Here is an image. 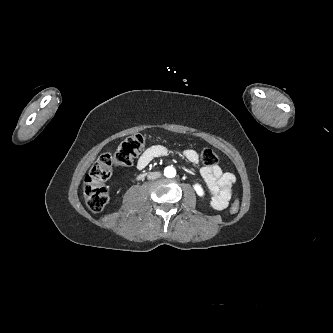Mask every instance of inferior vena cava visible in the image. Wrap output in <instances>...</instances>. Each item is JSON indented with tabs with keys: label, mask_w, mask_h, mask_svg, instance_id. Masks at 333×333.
Returning a JSON list of instances; mask_svg holds the SVG:
<instances>
[{
	"label": "inferior vena cava",
	"mask_w": 333,
	"mask_h": 333,
	"mask_svg": "<svg viewBox=\"0 0 333 333\" xmlns=\"http://www.w3.org/2000/svg\"><path fill=\"white\" fill-rule=\"evenodd\" d=\"M161 176L160 172H151L148 174V179L153 180Z\"/></svg>",
	"instance_id": "inferior-vena-cava-1"
}]
</instances>
